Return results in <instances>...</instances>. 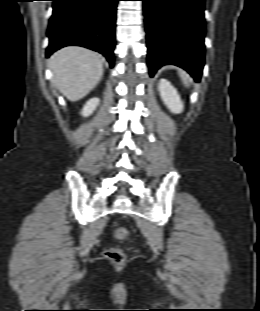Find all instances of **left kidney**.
I'll return each mask as SVG.
<instances>
[{"instance_id": "left-kidney-1", "label": "left kidney", "mask_w": 260, "mask_h": 311, "mask_svg": "<svg viewBox=\"0 0 260 311\" xmlns=\"http://www.w3.org/2000/svg\"><path fill=\"white\" fill-rule=\"evenodd\" d=\"M159 92L164 104L174 113L179 114L183 111L184 105L177 90L166 79H160Z\"/></svg>"}]
</instances>
